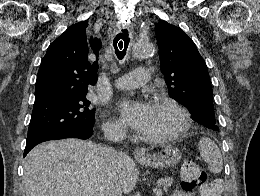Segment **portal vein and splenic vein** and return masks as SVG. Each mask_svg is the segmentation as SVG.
Wrapping results in <instances>:
<instances>
[{
  "mask_svg": "<svg viewBox=\"0 0 260 196\" xmlns=\"http://www.w3.org/2000/svg\"><path fill=\"white\" fill-rule=\"evenodd\" d=\"M156 196H162V190H161V189H158V190H157Z\"/></svg>",
  "mask_w": 260,
  "mask_h": 196,
  "instance_id": "1",
  "label": "portal vein and splenic vein"
}]
</instances>
